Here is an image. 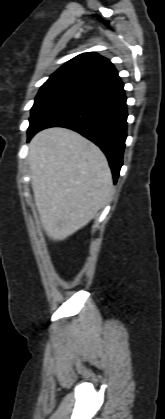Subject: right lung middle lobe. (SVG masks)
Listing matches in <instances>:
<instances>
[{
  "instance_id": "dd1d6c3e",
  "label": "right lung middle lobe",
  "mask_w": 165,
  "mask_h": 419,
  "mask_svg": "<svg viewBox=\"0 0 165 419\" xmlns=\"http://www.w3.org/2000/svg\"><path fill=\"white\" fill-rule=\"evenodd\" d=\"M82 96L80 92L51 87L40 89L31 108L28 134L50 113Z\"/></svg>"
}]
</instances>
